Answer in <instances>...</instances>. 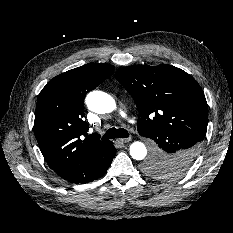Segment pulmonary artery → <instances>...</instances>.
<instances>
[{"label":"pulmonary artery","mask_w":233,"mask_h":233,"mask_svg":"<svg viewBox=\"0 0 233 233\" xmlns=\"http://www.w3.org/2000/svg\"><path fill=\"white\" fill-rule=\"evenodd\" d=\"M120 114L125 117V113L122 110H120Z\"/></svg>","instance_id":"e3ab8cb5"}]
</instances>
